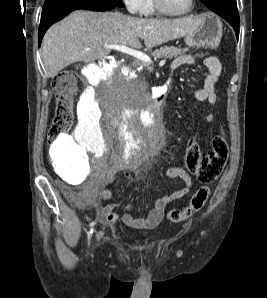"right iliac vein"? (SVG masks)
Returning <instances> with one entry per match:
<instances>
[{
  "label": "right iliac vein",
  "mask_w": 267,
  "mask_h": 298,
  "mask_svg": "<svg viewBox=\"0 0 267 298\" xmlns=\"http://www.w3.org/2000/svg\"><path fill=\"white\" fill-rule=\"evenodd\" d=\"M103 236V232L102 231H99L96 235V239L97 241H99L101 239V237Z\"/></svg>",
  "instance_id": "63e3f726"
}]
</instances>
